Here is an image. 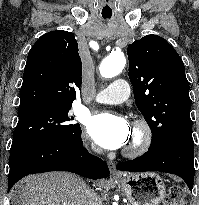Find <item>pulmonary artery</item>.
Returning a JSON list of instances; mask_svg holds the SVG:
<instances>
[{"label": "pulmonary artery", "mask_w": 199, "mask_h": 205, "mask_svg": "<svg viewBox=\"0 0 199 205\" xmlns=\"http://www.w3.org/2000/svg\"><path fill=\"white\" fill-rule=\"evenodd\" d=\"M131 86L124 79H116L98 97L97 101L105 104H119L130 96Z\"/></svg>", "instance_id": "1"}]
</instances>
